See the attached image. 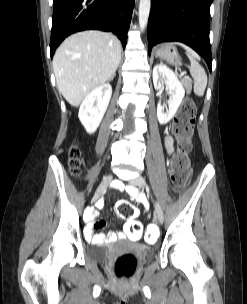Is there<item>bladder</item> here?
Here are the masks:
<instances>
[{"mask_svg": "<svg viewBox=\"0 0 247 304\" xmlns=\"http://www.w3.org/2000/svg\"><path fill=\"white\" fill-rule=\"evenodd\" d=\"M109 247L106 245H96V246H90L87 249V254L89 257L96 261L104 260L108 254ZM147 255H151V251H146Z\"/></svg>", "mask_w": 247, "mask_h": 304, "instance_id": "31cf9c89", "label": "bladder"}]
</instances>
